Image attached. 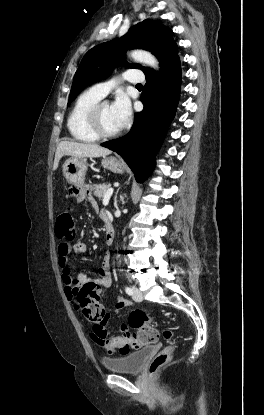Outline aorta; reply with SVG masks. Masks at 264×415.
<instances>
[{
    "mask_svg": "<svg viewBox=\"0 0 264 415\" xmlns=\"http://www.w3.org/2000/svg\"><path fill=\"white\" fill-rule=\"evenodd\" d=\"M130 56L137 62L149 65L154 69H158L157 59L150 53L144 50H133Z\"/></svg>",
    "mask_w": 264,
    "mask_h": 415,
    "instance_id": "762f6f07",
    "label": "aorta"
}]
</instances>
